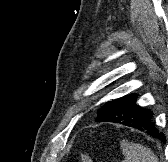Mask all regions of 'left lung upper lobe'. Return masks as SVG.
I'll return each instance as SVG.
<instances>
[{"mask_svg": "<svg viewBox=\"0 0 168 162\" xmlns=\"http://www.w3.org/2000/svg\"><path fill=\"white\" fill-rule=\"evenodd\" d=\"M104 105H105V104H104ZM102 109H103V106H102V108L98 111V114H97L98 117L96 118L97 120L102 117V115H101Z\"/></svg>", "mask_w": 168, "mask_h": 162, "instance_id": "obj_1", "label": "left lung upper lobe"}]
</instances>
